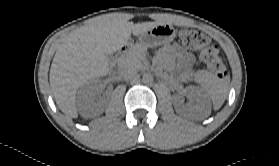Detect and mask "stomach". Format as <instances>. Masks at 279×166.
<instances>
[{
  "mask_svg": "<svg viewBox=\"0 0 279 166\" xmlns=\"http://www.w3.org/2000/svg\"><path fill=\"white\" fill-rule=\"evenodd\" d=\"M176 36L174 28L169 24H158L139 37V42L146 47L166 45Z\"/></svg>",
  "mask_w": 279,
  "mask_h": 166,
  "instance_id": "0dacf381",
  "label": "stomach"
}]
</instances>
